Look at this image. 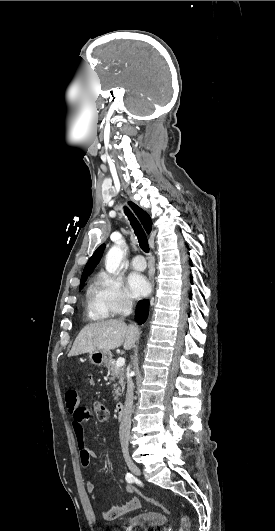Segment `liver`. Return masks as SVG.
Here are the masks:
<instances>
[{"mask_svg": "<svg viewBox=\"0 0 275 531\" xmlns=\"http://www.w3.org/2000/svg\"><path fill=\"white\" fill-rule=\"evenodd\" d=\"M138 337V327L136 325H126L123 321L109 319V321L89 323L77 335L69 357L92 353L96 349L111 351V349H118L121 345H123L125 351H129V349L134 347Z\"/></svg>", "mask_w": 275, "mask_h": 531, "instance_id": "liver-1", "label": "liver"}]
</instances>
